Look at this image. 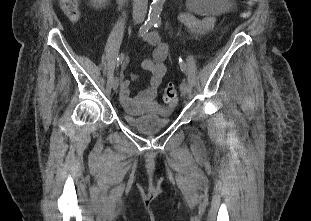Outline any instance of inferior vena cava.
Instances as JSON below:
<instances>
[{
    "label": "inferior vena cava",
    "mask_w": 311,
    "mask_h": 221,
    "mask_svg": "<svg viewBox=\"0 0 311 221\" xmlns=\"http://www.w3.org/2000/svg\"><path fill=\"white\" fill-rule=\"evenodd\" d=\"M147 2L148 0H133V16H135V14L145 16L147 12Z\"/></svg>",
    "instance_id": "602c4592"
}]
</instances>
